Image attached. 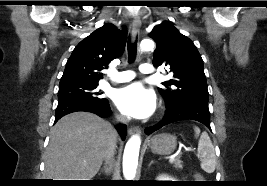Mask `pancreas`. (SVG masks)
I'll return each mask as SVG.
<instances>
[{
    "label": "pancreas",
    "instance_id": "obj_1",
    "mask_svg": "<svg viewBox=\"0 0 267 186\" xmlns=\"http://www.w3.org/2000/svg\"><path fill=\"white\" fill-rule=\"evenodd\" d=\"M172 163H173L174 167L177 169L183 168L182 161L180 160L179 157H176Z\"/></svg>",
    "mask_w": 267,
    "mask_h": 186
}]
</instances>
